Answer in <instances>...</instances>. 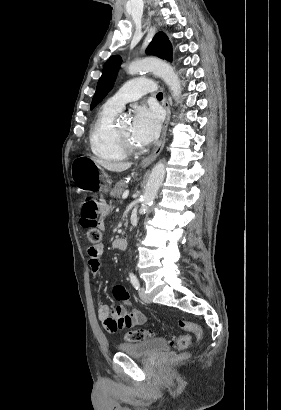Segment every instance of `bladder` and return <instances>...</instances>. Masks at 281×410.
I'll use <instances>...</instances> for the list:
<instances>
[{
	"label": "bladder",
	"instance_id": "bladder-1",
	"mask_svg": "<svg viewBox=\"0 0 281 410\" xmlns=\"http://www.w3.org/2000/svg\"><path fill=\"white\" fill-rule=\"evenodd\" d=\"M120 353L136 358H150L169 349L168 343L163 339H149L136 343H121L117 346Z\"/></svg>",
	"mask_w": 281,
	"mask_h": 410
}]
</instances>
